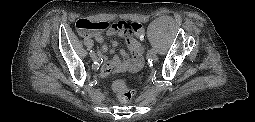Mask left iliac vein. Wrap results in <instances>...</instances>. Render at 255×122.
Wrapping results in <instances>:
<instances>
[{"instance_id":"1","label":"left iliac vein","mask_w":255,"mask_h":122,"mask_svg":"<svg viewBox=\"0 0 255 122\" xmlns=\"http://www.w3.org/2000/svg\"><path fill=\"white\" fill-rule=\"evenodd\" d=\"M150 58H151L152 62H154V63L158 61L157 54H150Z\"/></svg>"}]
</instances>
